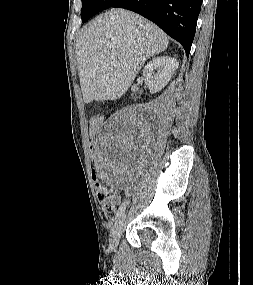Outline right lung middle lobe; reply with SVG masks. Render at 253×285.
Wrapping results in <instances>:
<instances>
[{
    "instance_id": "1",
    "label": "right lung middle lobe",
    "mask_w": 253,
    "mask_h": 285,
    "mask_svg": "<svg viewBox=\"0 0 253 285\" xmlns=\"http://www.w3.org/2000/svg\"><path fill=\"white\" fill-rule=\"evenodd\" d=\"M116 1L117 0H82V22H86L99 11L110 8Z\"/></svg>"
}]
</instances>
